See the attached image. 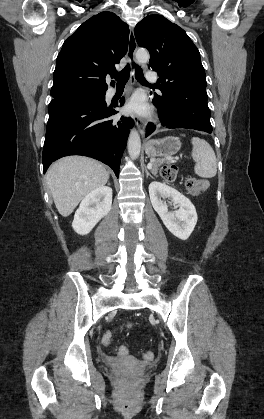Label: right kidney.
Here are the masks:
<instances>
[{
    "instance_id": "1",
    "label": "right kidney",
    "mask_w": 264,
    "mask_h": 419,
    "mask_svg": "<svg viewBox=\"0 0 264 419\" xmlns=\"http://www.w3.org/2000/svg\"><path fill=\"white\" fill-rule=\"evenodd\" d=\"M112 206V189L99 187L84 197L75 212L72 227L80 235L88 234Z\"/></svg>"
}]
</instances>
